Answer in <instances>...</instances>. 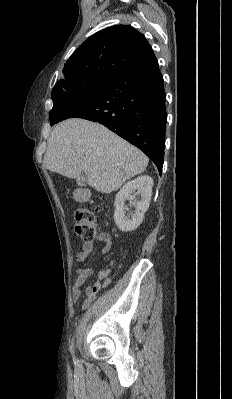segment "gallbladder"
I'll return each instance as SVG.
<instances>
[{"label":"gallbladder","instance_id":"obj_1","mask_svg":"<svg viewBox=\"0 0 232 399\" xmlns=\"http://www.w3.org/2000/svg\"><path fill=\"white\" fill-rule=\"evenodd\" d=\"M76 182H77L78 186H87L88 178H87L86 174H81V176H79V178H77Z\"/></svg>","mask_w":232,"mask_h":399}]
</instances>
